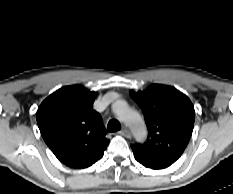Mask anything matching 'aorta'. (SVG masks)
<instances>
[{
    "label": "aorta",
    "instance_id": "762f6f07",
    "mask_svg": "<svg viewBox=\"0 0 233 194\" xmlns=\"http://www.w3.org/2000/svg\"><path fill=\"white\" fill-rule=\"evenodd\" d=\"M114 112L130 127L137 139L146 137V127L139 113L129 108L125 101L113 105Z\"/></svg>",
    "mask_w": 233,
    "mask_h": 194
}]
</instances>
